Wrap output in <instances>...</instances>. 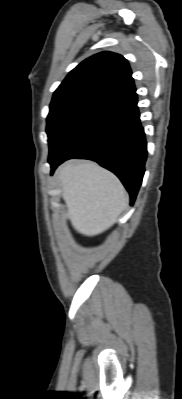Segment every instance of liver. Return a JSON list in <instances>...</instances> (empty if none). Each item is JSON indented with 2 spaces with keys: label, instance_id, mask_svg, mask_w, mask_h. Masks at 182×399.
Returning a JSON list of instances; mask_svg holds the SVG:
<instances>
[{
  "label": "liver",
  "instance_id": "obj_1",
  "mask_svg": "<svg viewBox=\"0 0 182 399\" xmlns=\"http://www.w3.org/2000/svg\"><path fill=\"white\" fill-rule=\"evenodd\" d=\"M57 179L74 229L86 236L98 235L117 221L129 197L111 172L92 162L67 163Z\"/></svg>",
  "mask_w": 182,
  "mask_h": 399
}]
</instances>
